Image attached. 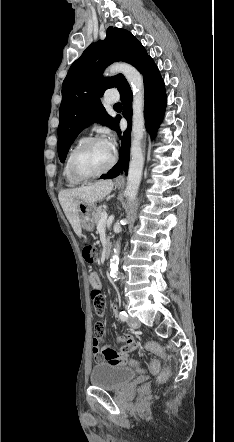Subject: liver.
Instances as JSON below:
<instances>
[{
    "instance_id": "1",
    "label": "liver",
    "mask_w": 234,
    "mask_h": 442,
    "mask_svg": "<svg viewBox=\"0 0 234 442\" xmlns=\"http://www.w3.org/2000/svg\"><path fill=\"white\" fill-rule=\"evenodd\" d=\"M112 180H101L88 186L59 192V202L77 236H82L78 206L81 203L94 204L105 198L113 189Z\"/></svg>"
}]
</instances>
